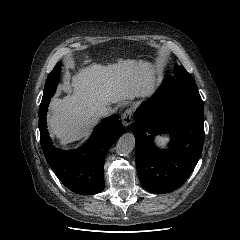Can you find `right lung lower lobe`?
<instances>
[{"label":"right lung lower lobe","instance_id":"1","mask_svg":"<svg viewBox=\"0 0 240 240\" xmlns=\"http://www.w3.org/2000/svg\"><path fill=\"white\" fill-rule=\"evenodd\" d=\"M46 113L47 108L39 111L40 143L56 176L68 189L80 195L103 191L105 156L123 133V125L118 116L113 115L99 123L86 145L80 149L63 151L52 144L47 130Z\"/></svg>","mask_w":240,"mask_h":240}]
</instances>
